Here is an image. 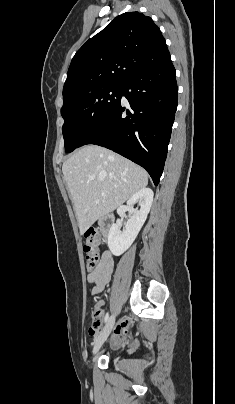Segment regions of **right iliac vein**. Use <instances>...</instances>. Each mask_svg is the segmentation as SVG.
Wrapping results in <instances>:
<instances>
[{
    "mask_svg": "<svg viewBox=\"0 0 235 404\" xmlns=\"http://www.w3.org/2000/svg\"><path fill=\"white\" fill-rule=\"evenodd\" d=\"M115 325V318L111 317L109 321L107 322L104 330L100 334L98 340L96 341L94 348H93V355L97 354L98 351L100 350L101 346L103 343L107 340L109 334L111 333L113 327Z\"/></svg>",
    "mask_w": 235,
    "mask_h": 404,
    "instance_id": "1",
    "label": "right iliac vein"
}]
</instances>
